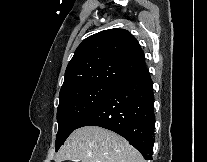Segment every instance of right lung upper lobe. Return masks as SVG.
I'll return each mask as SVG.
<instances>
[{
    "label": "right lung upper lobe",
    "mask_w": 207,
    "mask_h": 162,
    "mask_svg": "<svg viewBox=\"0 0 207 162\" xmlns=\"http://www.w3.org/2000/svg\"><path fill=\"white\" fill-rule=\"evenodd\" d=\"M138 41L124 29H108L86 38L70 60L60 94L94 84L117 85L145 68Z\"/></svg>",
    "instance_id": "obj_1"
}]
</instances>
